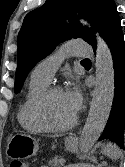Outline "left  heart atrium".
I'll return each mask as SVG.
<instances>
[{
	"label": "left heart atrium",
	"instance_id": "obj_1",
	"mask_svg": "<svg viewBox=\"0 0 125 167\" xmlns=\"http://www.w3.org/2000/svg\"><path fill=\"white\" fill-rule=\"evenodd\" d=\"M63 93L69 106L76 113L82 103V95L78 86L74 83H71L66 87Z\"/></svg>",
	"mask_w": 125,
	"mask_h": 167
}]
</instances>
